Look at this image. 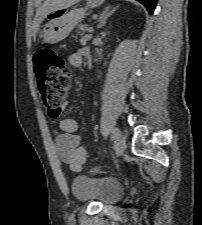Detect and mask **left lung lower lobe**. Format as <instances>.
<instances>
[{
  "instance_id": "left-lung-lower-lobe-1",
  "label": "left lung lower lobe",
  "mask_w": 202,
  "mask_h": 225,
  "mask_svg": "<svg viewBox=\"0 0 202 225\" xmlns=\"http://www.w3.org/2000/svg\"><path fill=\"white\" fill-rule=\"evenodd\" d=\"M141 2L149 11L150 14L153 13L157 0H137Z\"/></svg>"
}]
</instances>
